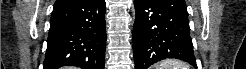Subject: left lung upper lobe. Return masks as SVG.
Here are the masks:
<instances>
[{
    "label": "left lung upper lobe",
    "mask_w": 246,
    "mask_h": 69,
    "mask_svg": "<svg viewBox=\"0 0 246 69\" xmlns=\"http://www.w3.org/2000/svg\"><path fill=\"white\" fill-rule=\"evenodd\" d=\"M162 5L178 14L180 17L184 19H188V12L186 9V4L184 0H157Z\"/></svg>",
    "instance_id": "left-lung-upper-lobe-1"
}]
</instances>
